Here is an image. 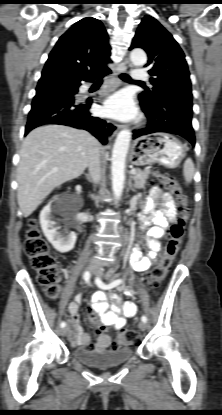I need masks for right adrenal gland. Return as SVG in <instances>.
<instances>
[{
  "mask_svg": "<svg viewBox=\"0 0 222 415\" xmlns=\"http://www.w3.org/2000/svg\"><path fill=\"white\" fill-rule=\"evenodd\" d=\"M85 175V177H86V179L89 181V182H91V178H90V176L88 175V174H84Z\"/></svg>",
  "mask_w": 222,
  "mask_h": 415,
  "instance_id": "right-adrenal-gland-1",
  "label": "right adrenal gland"
}]
</instances>
